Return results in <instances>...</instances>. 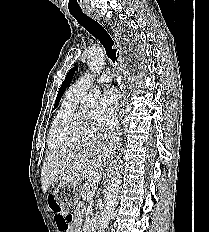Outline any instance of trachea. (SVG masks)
<instances>
[{"instance_id":"3493384b","label":"trachea","mask_w":209,"mask_h":232,"mask_svg":"<svg viewBox=\"0 0 209 232\" xmlns=\"http://www.w3.org/2000/svg\"><path fill=\"white\" fill-rule=\"evenodd\" d=\"M77 22L83 26L90 34H92L105 48L108 58L113 62L116 61V49L113 48L114 41L112 40L106 29L97 21L87 16L82 10L70 12Z\"/></svg>"}]
</instances>
